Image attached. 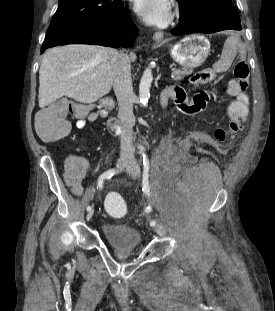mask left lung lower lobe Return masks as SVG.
I'll list each match as a JSON object with an SVG mask.
<instances>
[{
    "label": "left lung lower lobe",
    "instance_id": "1",
    "mask_svg": "<svg viewBox=\"0 0 275 311\" xmlns=\"http://www.w3.org/2000/svg\"><path fill=\"white\" fill-rule=\"evenodd\" d=\"M240 19H236L226 9H208L191 16L180 14L178 25L171 30L173 35L191 33H215L224 30H241Z\"/></svg>",
    "mask_w": 275,
    "mask_h": 311
}]
</instances>
